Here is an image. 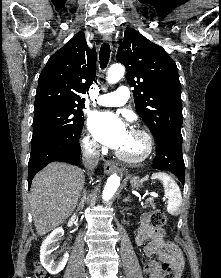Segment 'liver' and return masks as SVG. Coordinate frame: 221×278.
<instances>
[{
  "instance_id": "1",
  "label": "liver",
  "mask_w": 221,
  "mask_h": 278,
  "mask_svg": "<svg viewBox=\"0 0 221 278\" xmlns=\"http://www.w3.org/2000/svg\"><path fill=\"white\" fill-rule=\"evenodd\" d=\"M83 171L63 162H53L32 181L29 204L38 235L60 226L73 213L84 187Z\"/></svg>"
}]
</instances>
